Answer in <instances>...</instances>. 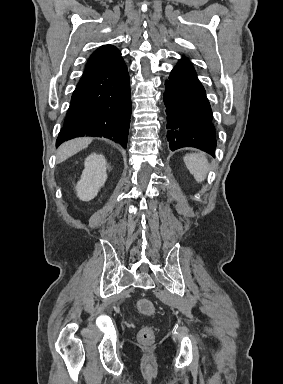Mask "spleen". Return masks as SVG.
Returning <instances> with one entry per match:
<instances>
[{
  "label": "spleen",
  "mask_w": 283,
  "mask_h": 384,
  "mask_svg": "<svg viewBox=\"0 0 283 384\" xmlns=\"http://www.w3.org/2000/svg\"><path fill=\"white\" fill-rule=\"evenodd\" d=\"M190 174L197 182H204L209 172L208 162L204 154H186L183 158Z\"/></svg>",
  "instance_id": "obj_1"
}]
</instances>
